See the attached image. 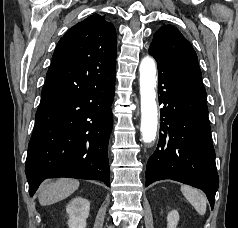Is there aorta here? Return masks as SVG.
I'll list each match as a JSON object with an SVG mask.
<instances>
[{
  "instance_id": "1",
  "label": "aorta",
  "mask_w": 238,
  "mask_h": 228,
  "mask_svg": "<svg viewBox=\"0 0 238 228\" xmlns=\"http://www.w3.org/2000/svg\"><path fill=\"white\" fill-rule=\"evenodd\" d=\"M140 99H141V134L144 143H151L156 138L158 124V109L156 104V63L146 56L141 60Z\"/></svg>"
}]
</instances>
